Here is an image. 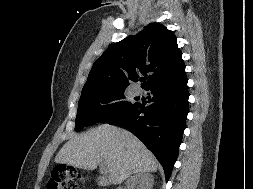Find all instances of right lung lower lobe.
Listing matches in <instances>:
<instances>
[{"instance_id":"right-lung-lower-lobe-1","label":"right lung lower lobe","mask_w":253,"mask_h":189,"mask_svg":"<svg viewBox=\"0 0 253 189\" xmlns=\"http://www.w3.org/2000/svg\"><path fill=\"white\" fill-rule=\"evenodd\" d=\"M148 97L151 104L141 103L120 114L108 124L122 126L138 137L155 155L164 168L168 181L178 156L188 114L186 74L182 77L152 85Z\"/></svg>"}]
</instances>
